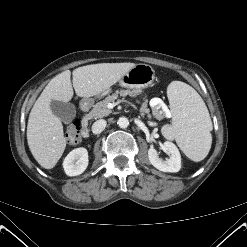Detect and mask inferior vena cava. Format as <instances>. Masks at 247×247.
I'll list each match as a JSON object with an SVG mask.
<instances>
[{
  "label": "inferior vena cava",
  "instance_id": "inferior-vena-cava-1",
  "mask_svg": "<svg viewBox=\"0 0 247 247\" xmlns=\"http://www.w3.org/2000/svg\"><path fill=\"white\" fill-rule=\"evenodd\" d=\"M106 121L104 119L97 120L92 125V132L94 134L101 133L106 127Z\"/></svg>",
  "mask_w": 247,
  "mask_h": 247
}]
</instances>
